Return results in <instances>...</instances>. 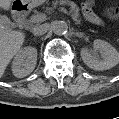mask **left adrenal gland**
Here are the masks:
<instances>
[{"label": "left adrenal gland", "mask_w": 119, "mask_h": 119, "mask_svg": "<svg viewBox=\"0 0 119 119\" xmlns=\"http://www.w3.org/2000/svg\"><path fill=\"white\" fill-rule=\"evenodd\" d=\"M74 34H75V36H77V37H79V38L84 37V34L81 33V32H76V33H74Z\"/></svg>", "instance_id": "left-adrenal-gland-1"}]
</instances>
